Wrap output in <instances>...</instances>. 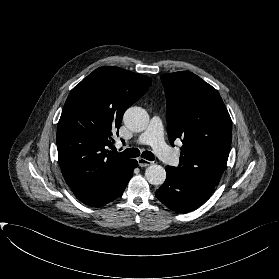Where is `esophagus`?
Returning <instances> with one entry per match:
<instances>
[{
    "mask_svg": "<svg viewBox=\"0 0 279 279\" xmlns=\"http://www.w3.org/2000/svg\"><path fill=\"white\" fill-rule=\"evenodd\" d=\"M137 161L140 167H147L153 164V162L146 160L144 158H138Z\"/></svg>",
    "mask_w": 279,
    "mask_h": 279,
    "instance_id": "34e87169",
    "label": "esophagus"
}]
</instances>
